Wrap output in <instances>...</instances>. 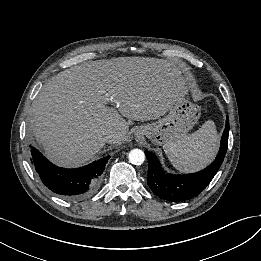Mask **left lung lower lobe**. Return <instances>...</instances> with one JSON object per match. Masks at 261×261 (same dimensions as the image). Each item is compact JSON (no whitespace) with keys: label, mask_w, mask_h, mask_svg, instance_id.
<instances>
[{"label":"left lung lower lobe","mask_w":261,"mask_h":261,"mask_svg":"<svg viewBox=\"0 0 261 261\" xmlns=\"http://www.w3.org/2000/svg\"><path fill=\"white\" fill-rule=\"evenodd\" d=\"M228 119L227 117L219 152L214 162L199 172L183 175L166 173L156 156L149 151H145L148 159L147 184L155 195L166 201L178 202L194 198L206 188L220 168L227 151L229 134Z\"/></svg>","instance_id":"1"}]
</instances>
